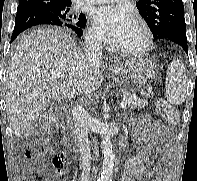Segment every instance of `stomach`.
<instances>
[{
	"mask_svg": "<svg viewBox=\"0 0 197 181\" xmlns=\"http://www.w3.org/2000/svg\"><path fill=\"white\" fill-rule=\"evenodd\" d=\"M158 68L155 62L147 59L132 60L128 78L138 87L149 85L155 78Z\"/></svg>",
	"mask_w": 197,
	"mask_h": 181,
	"instance_id": "1",
	"label": "stomach"
}]
</instances>
